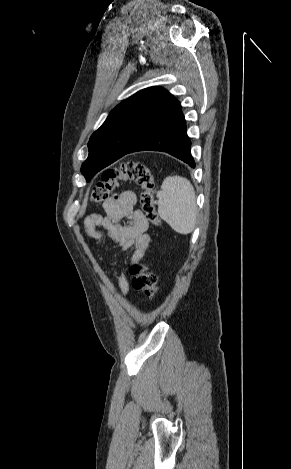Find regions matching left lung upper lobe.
Segmentation results:
<instances>
[{
    "label": "left lung upper lobe",
    "instance_id": "5c2ea615",
    "mask_svg": "<svg viewBox=\"0 0 291 469\" xmlns=\"http://www.w3.org/2000/svg\"><path fill=\"white\" fill-rule=\"evenodd\" d=\"M179 106L162 87L143 89L116 106L88 142L89 156L81 168L86 180L121 157Z\"/></svg>",
    "mask_w": 291,
    "mask_h": 469
}]
</instances>
